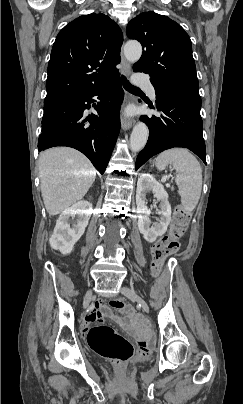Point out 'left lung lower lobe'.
Wrapping results in <instances>:
<instances>
[{
  "mask_svg": "<svg viewBox=\"0 0 243 404\" xmlns=\"http://www.w3.org/2000/svg\"><path fill=\"white\" fill-rule=\"evenodd\" d=\"M156 107L160 117L141 116V120L149 128V139L137 157L135 169L152 156L173 147L190 149L206 164L200 95L180 92L156 93Z\"/></svg>",
  "mask_w": 243,
  "mask_h": 404,
  "instance_id": "1",
  "label": "left lung lower lobe"
}]
</instances>
